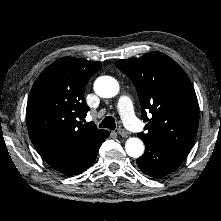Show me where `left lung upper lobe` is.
I'll return each instance as SVG.
<instances>
[{"instance_id": "1", "label": "left lung upper lobe", "mask_w": 221, "mask_h": 221, "mask_svg": "<svg viewBox=\"0 0 221 221\" xmlns=\"http://www.w3.org/2000/svg\"><path fill=\"white\" fill-rule=\"evenodd\" d=\"M115 65L132 80L142 107V119L148 122L147 132L139 133V138L190 151L198 129L199 107L184 70L156 51L116 61Z\"/></svg>"}]
</instances>
